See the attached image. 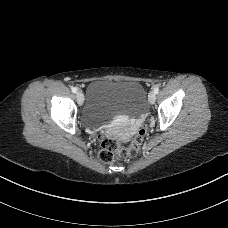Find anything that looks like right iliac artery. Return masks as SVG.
Masks as SVG:
<instances>
[{
    "label": "right iliac artery",
    "instance_id": "obj_1",
    "mask_svg": "<svg viewBox=\"0 0 228 228\" xmlns=\"http://www.w3.org/2000/svg\"><path fill=\"white\" fill-rule=\"evenodd\" d=\"M72 92L76 93L77 92V88L76 87H72Z\"/></svg>",
    "mask_w": 228,
    "mask_h": 228
}]
</instances>
